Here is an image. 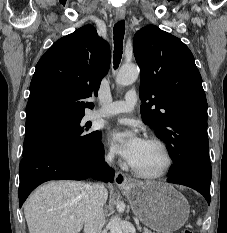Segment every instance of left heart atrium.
Here are the masks:
<instances>
[{"label": "left heart atrium", "instance_id": "39dd6f15", "mask_svg": "<svg viewBox=\"0 0 227 233\" xmlns=\"http://www.w3.org/2000/svg\"><path fill=\"white\" fill-rule=\"evenodd\" d=\"M117 151L131 164L146 142L135 129L116 128L110 134Z\"/></svg>", "mask_w": 227, "mask_h": 233}]
</instances>
